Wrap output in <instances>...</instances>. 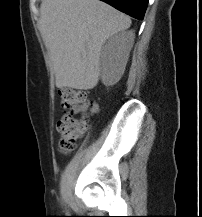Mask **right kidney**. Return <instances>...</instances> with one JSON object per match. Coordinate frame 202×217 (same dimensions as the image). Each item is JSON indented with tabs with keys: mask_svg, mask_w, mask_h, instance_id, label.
<instances>
[{
	"mask_svg": "<svg viewBox=\"0 0 202 217\" xmlns=\"http://www.w3.org/2000/svg\"><path fill=\"white\" fill-rule=\"evenodd\" d=\"M132 30L122 31L109 38L103 47L100 60V76L105 86L116 84L122 77L134 44Z\"/></svg>",
	"mask_w": 202,
	"mask_h": 217,
	"instance_id": "obj_1",
	"label": "right kidney"
}]
</instances>
